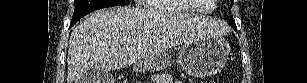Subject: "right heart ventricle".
<instances>
[{
	"mask_svg": "<svg viewBox=\"0 0 307 83\" xmlns=\"http://www.w3.org/2000/svg\"><path fill=\"white\" fill-rule=\"evenodd\" d=\"M149 8L162 14L192 13L195 10L183 0H151Z\"/></svg>",
	"mask_w": 307,
	"mask_h": 83,
	"instance_id": "obj_1",
	"label": "right heart ventricle"
}]
</instances>
